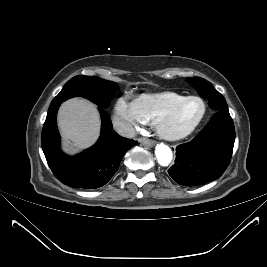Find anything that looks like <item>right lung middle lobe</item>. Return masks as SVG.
I'll list each match as a JSON object with an SVG mask.
<instances>
[{
    "mask_svg": "<svg viewBox=\"0 0 267 267\" xmlns=\"http://www.w3.org/2000/svg\"><path fill=\"white\" fill-rule=\"evenodd\" d=\"M119 90L116 83L98 77L78 75L69 80L61 92L53 99L51 105L81 96L91 100L100 107H109L110 100Z\"/></svg>",
    "mask_w": 267,
    "mask_h": 267,
    "instance_id": "right-lung-middle-lobe-1",
    "label": "right lung middle lobe"
}]
</instances>
